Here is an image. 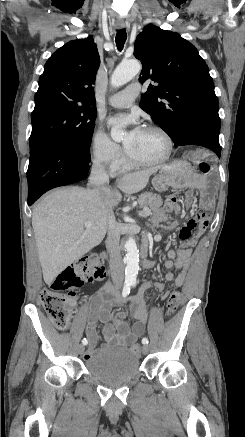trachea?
Here are the masks:
<instances>
[{
	"mask_svg": "<svg viewBox=\"0 0 245 437\" xmlns=\"http://www.w3.org/2000/svg\"><path fill=\"white\" fill-rule=\"evenodd\" d=\"M126 39H127L126 30L125 29L117 30L115 41H116L117 49L119 51H122L124 44L126 42Z\"/></svg>",
	"mask_w": 245,
	"mask_h": 437,
	"instance_id": "3493384b",
	"label": "trachea"
}]
</instances>
